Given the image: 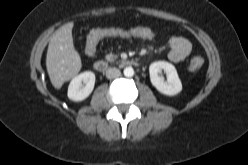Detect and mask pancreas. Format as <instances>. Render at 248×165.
I'll use <instances>...</instances> for the list:
<instances>
[{
    "instance_id": "1",
    "label": "pancreas",
    "mask_w": 248,
    "mask_h": 165,
    "mask_svg": "<svg viewBox=\"0 0 248 165\" xmlns=\"http://www.w3.org/2000/svg\"><path fill=\"white\" fill-rule=\"evenodd\" d=\"M117 58H118V56H117V55H114V54H112V53L107 54V55L105 56V59H106L107 61H114V60H116Z\"/></svg>"
}]
</instances>
